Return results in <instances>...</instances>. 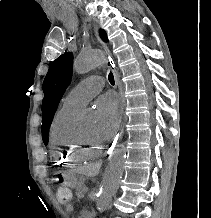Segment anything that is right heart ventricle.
<instances>
[{"instance_id":"right-heart-ventricle-1","label":"right heart ventricle","mask_w":211,"mask_h":218,"mask_svg":"<svg viewBox=\"0 0 211 218\" xmlns=\"http://www.w3.org/2000/svg\"><path fill=\"white\" fill-rule=\"evenodd\" d=\"M79 110L62 106L55 114L51 126V136L56 144H51L54 165L58 169H74L96 158L99 154L82 148L78 140L77 117Z\"/></svg>"}]
</instances>
